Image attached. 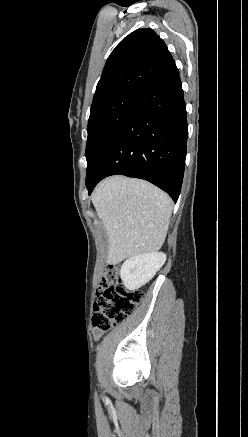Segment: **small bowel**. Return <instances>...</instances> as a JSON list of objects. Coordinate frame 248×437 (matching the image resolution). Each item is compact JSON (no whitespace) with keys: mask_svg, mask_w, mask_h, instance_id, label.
<instances>
[{"mask_svg":"<svg viewBox=\"0 0 248 437\" xmlns=\"http://www.w3.org/2000/svg\"><path fill=\"white\" fill-rule=\"evenodd\" d=\"M93 334L96 338H99L102 334H103V330L98 329V328H94L93 329Z\"/></svg>","mask_w":248,"mask_h":437,"instance_id":"small-bowel-1","label":"small bowel"}]
</instances>
